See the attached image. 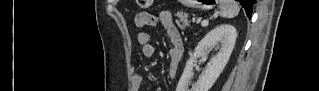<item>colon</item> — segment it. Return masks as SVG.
Returning <instances> with one entry per match:
<instances>
[{"label":"colon","instance_id":"colon-1","mask_svg":"<svg viewBox=\"0 0 319 91\" xmlns=\"http://www.w3.org/2000/svg\"><path fill=\"white\" fill-rule=\"evenodd\" d=\"M151 0H139V5L142 9H149L152 6Z\"/></svg>","mask_w":319,"mask_h":91}]
</instances>
